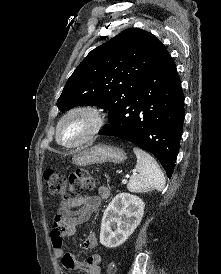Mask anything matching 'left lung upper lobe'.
Listing matches in <instances>:
<instances>
[{
    "instance_id": "left-lung-upper-lobe-1",
    "label": "left lung upper lobe",
    "mask_w": 221,
    "mask_h": 274,
    "mask_svg": "<svg viewBox=\"0 0 221 274\" xmlns=\"http://www.w3.org/2000/svg\"><path fill=\"white\" fill-rule=\"evenodd\" d=\"M169 54L153 34L129 28L92 50L68 79L58 109L99 106L112 115Z\"/></svg>"
}]
</instances>
